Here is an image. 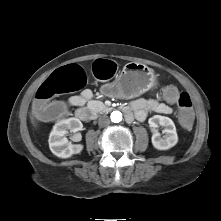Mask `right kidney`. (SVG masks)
Masks as SVG:
<instances>
[{
	"mask_svg": "<svg viewBox=\"0 0 221 221\" xmlns=\"http://www.w3.org/2000/svg\"><path fill=\"white\" fill-rule=\"evenodd\" d=\"M82 127V122L77 118L58 121L49 135L48 141L51 152L60 158H69L74 154H79L83 150V145L72 144L65 135L68 131L76 133L82 130Z\"/></svg>",
	"mask_w": 221,
	"mask_h": 221,
	"instance_id": "ca27d5eb",
	"label": "right kidney"
}]
</instances>
